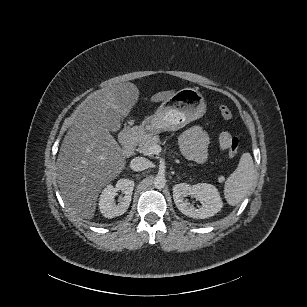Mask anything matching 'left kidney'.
<instances>
[{
    "label": "left kidney",
    "mask_w": 307,
    "mask_h": 307,
    "mask_svg": "<svg viewBox=\"0 0 307 307\" xmlns=\"http://www.w3.org/2000/svg\"><path fill=\"white\" fill-rule=\"evenodd\" d=\"M188 195L198 199L202 203V207L196 209L184 201ZM173 199L180 212L188 217L198 219L214 216L223 206L217 188L207 183H198L193 186L186 183L176 184L173 187Z\"/></svg>",
    "instance_id": "1"
}]
</instances>
